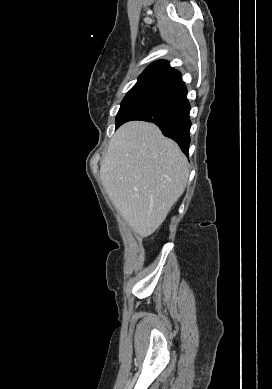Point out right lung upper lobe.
<instances>
[{
    "label": "right lung upper lobe",
    "mask_w": 272,
    "mask_h": 389,
    "mask_svg": "<svg viewBox=\"0 0 272 389\" xmlns=\"http://www.w3.org/2000/svg\"><path fill=\"white\" fill-rule=\"evenodd\" d=\"M181 79V74L170 67L166 60L155 61L150 64L139 76L138 83L157 84L160 86L169 85Z\"/></svg>",
    "instance_id": "cb5924a9"
}]
</instances>
